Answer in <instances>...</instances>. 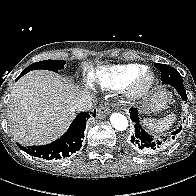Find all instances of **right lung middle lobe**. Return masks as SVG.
<instances>
[{"instance_id": "1", "label": "right lung middle lobe", "mask_w": 196, "mask_h": 196, "mask_svg": "<svg viewBox=\"0 0 196 196\" xmlns=\"http://www.w3.org/2000/svg\"><path fill=\"white\" fill-rule=\"evenodd\" d=\"M64 64V60H44L31 64L25 68L20 75L23 76L24 74L36 69H45L57 72L64 68Z\"/></svg>"}]
</instances>
